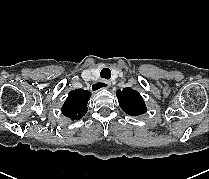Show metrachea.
Listing matches in <instances>:
<instances>
[{
  "instance_id": "3493384b",
  "label": "trachea",
  "mask_w": 209,
  "mask_h": 179,
  "mask_svg": "<svg viewBox=\"0 0 209 179\" xmlns=\"http://www.w3.org/2000/svg\"><path fill=\"white\" fill-rule=\"evenodd\" d=\"M100 76H101V78H104V79H110V77H111L110 69L103 68L100 72Z\"/></svg>"
}]
</instances>
